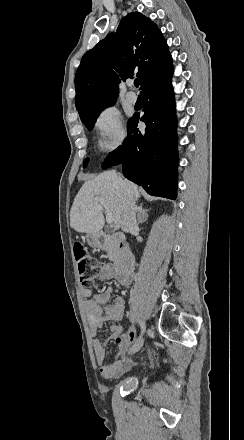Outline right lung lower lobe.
Returning <instances> with one entry per match:
<instances>
[{
	"mask_svg": "<svg viewBox=\"0 0 244 440\" xmlns=\"http://www.w3.org/2000/svg\"><path fill=\"white\" fill-rule=\"evenodd\" d=\"M172 62L151 74L140 87L144 100L145 131L137 128L139 116L128 120L124 143L109 154L103 169L122 163L126 178L142 186L150 195L176 198L177 121L171 86Z\"/></svg>",
	"mask_w": 244,
	"mask_h": 440,
	"instance_id": "98d812e1",
	"label": "right lung lower lobe"
}]
</instances>
